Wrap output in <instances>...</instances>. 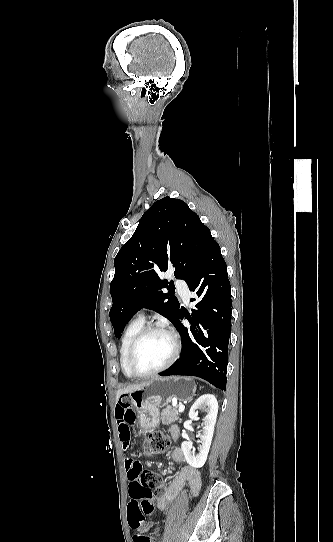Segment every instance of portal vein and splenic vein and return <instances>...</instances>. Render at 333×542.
<instances>
[{
	"label": "portal vein and splenic vein",
	"instance_id": "obj_1",
	"mask_svg": "<svg viewBox=\"0 0 333 542\" xmlns=\"http://www.w3.org/2000/svg\"><path fill=\"white\" fill-rule=\"evenodd\" d=\"M184 410H185V406H180L179 412H184Z\"/></svg>",
	"mask_w": 333,
	"mask_h": 542
}]
</instances>
